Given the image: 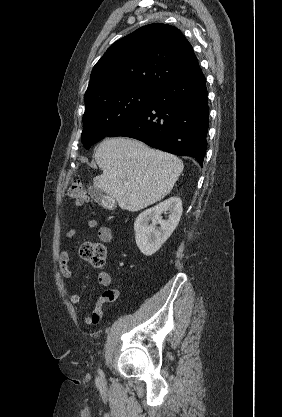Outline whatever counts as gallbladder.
Segmentation results:
<instances>
[{
    "label": "gallbladder",
    "instance_id": "obj_1",
    "mask_svg": "<svg viewBox=\"0 0 282 417\" xmlns=\"http://www.w3.org/2000/svg\"><path fill=\"white\" fill-rule=\"evenodd\" d=\"M88 192L98 204H102V206H106V202H108L110 196L106 194L105 190L102 188H97V186H88Z\"/></svg>",
    "mask_w": 282,
    "mask_h": 417
}]
</instances>
